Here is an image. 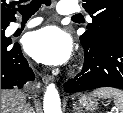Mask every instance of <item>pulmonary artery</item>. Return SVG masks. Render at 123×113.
Listing matches in <instances>:
<instances>
[{"label":"pulmonary artery","instance_id":"e3ab8cb5","mask_svg":"<svg viewBox=\"0 0 123 113\" xmlns=\"http://www.w3.org/2000/svg\"><path fill=\"white\" fill-rule=\"evenodd\" d=\"M57 10L61 14H73L79 10V6L74 1H60L58 3ZM40 23H41L40 18L30 19L24 25H21L20 23H16L13 25V31H16L17 29L20 28L30 29L37 26Z\"/></svg>","mask_w":123,"mask_h":113}]
</instances>
